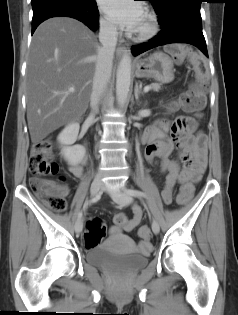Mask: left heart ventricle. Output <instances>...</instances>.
I'll return each instance as SVG.
<instances>
[{
	"mask_svg": "<svg viewBox=\"0 0 238 315\" xmlns=\"http://www.w3.org/2000/svg\"><path fill=\"white\" fill-rule=\"evenodd\" d=\"M147 22H148L147 21V17L144 14L142 19H141V21H140V23H139V25H138V27H137V29H136V31L139 32V31L143 30L147 26Z\"/></svg>",
	"mask_w": 238,
	"mask_h": 315,
	"instance_id": "obj_1",
	"label": "left heart ventricle"
}]
</instances>
